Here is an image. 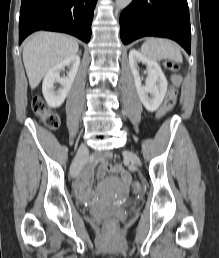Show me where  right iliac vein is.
<instances>
[{"label":"right iliac vein","mask_w":219,"mask_h":258,"mask_svg":"<svg viewBox=\"0 0 219 258\" xmlns=\"http://www.w3.org/2000/svg\"><path fill=\"white\" fill-rule=\"evenodd\" d=\"M87 153V146L85 144H81L71 165L70 173L72 177H76L85 164Z\"/></svg>","instance_id":"1"}]
</instances>
